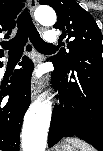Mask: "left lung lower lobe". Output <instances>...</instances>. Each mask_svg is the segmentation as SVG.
<instances>
[{
  "label": "left lung lower lobe",
  "mask_w": 103,
  "mask_h": 151,
  "mask_svg": "<svg viewBox=\"0 0 103 151\" xmlns=\"http://www.w3.org/2000/svg\"><path fill=\"white\" fill-rule=\"evenodd\" d=\"M102 56V52L83 53L66 68L53 63L51 82L61 104L53 109L49 147L63 137L76 136L103 150Z\"/></svg>",
  "instance_id": "0a47b994"
}]
</instances>
